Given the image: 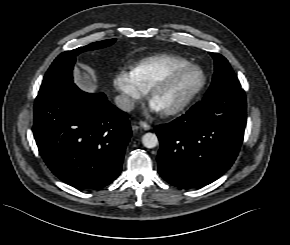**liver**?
<instances>
[{"label": "liver", "mask_w": 290, "mask_h": 245, "mask_svg": "<svg viewBox=\"0 0 290 245\" xmlns=\"http://www.w3.org/2000/svg\"><path fill=\"white\" fill-rule=\"evenodd\" d=\"M75 84L83 91L88 93L96 92L98 89V82L95 72L92 69L80 70L76 69Z\"/></svg>", "instance_id": "liver-1"}]
</instances>
